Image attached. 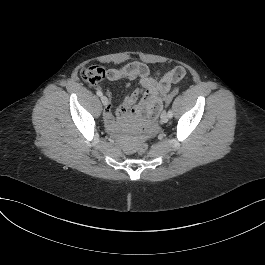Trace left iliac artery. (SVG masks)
Instances as JSON below:
<instances>
[{
  "instance_id": "left-iliac-artery-1",
  "label": "left iliac artery",
  "mask_w": 265,
  "mask_h": 265,
  "mask_svg": "<svg viewBox=\"0 0 265 265\" xmlns=\"http://www.w3.org/2000/svg\"><path fill=\"white\" fill-rule=\"evenodd\" d=\"M168 116H169V118H172L173 117V112H172L171 109H169V111H168Z\"/></svg>"
}]
</instances>
